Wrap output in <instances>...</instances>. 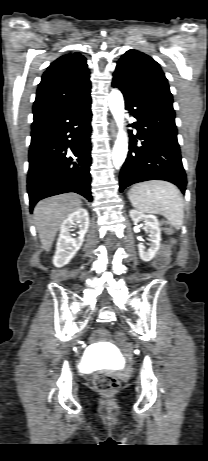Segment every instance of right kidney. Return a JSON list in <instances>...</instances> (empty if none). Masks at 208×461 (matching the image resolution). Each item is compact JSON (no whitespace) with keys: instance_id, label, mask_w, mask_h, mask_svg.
<instances>
[{"instance_id":"ca27d5eb","label":"right kidney","mask_w":208,"mask_h":461,"mask_svg":"<svg viewBox=\"0 0 208 461\" xmlns=\"http://www.w3.org/2000/svg\"><path fill=\"white\" fill-rule=\"evenodd\" d=\"M79 224L78 237L73 238L72 227ZM89 227V214L86 209L80 208L71 213L61 224L60 234L57 240L56 252L53 264L62 267L69 263L84 242V236Z\"/></svg>"}]
</instances>
